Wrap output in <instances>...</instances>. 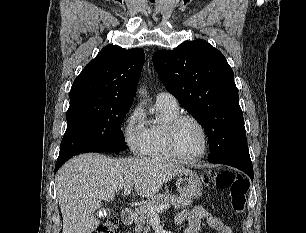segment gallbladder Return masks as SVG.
<instances>
[{
  "label": "gallbladder",
  "mask_w": 306,
  "mask_h": 233,
  "mask_svg": "<svg viewBox=\"0 0 306 233\" xmlns=\"http://www.w3.org/2000/svg\"><path fill=\"white\" fill-rule=\"evenodd\" d=\"M108 214H109V211L106 210V211H105V215H108Z\"/></svg>",
  "instance_id": "obj_1"
}]
</instances>
